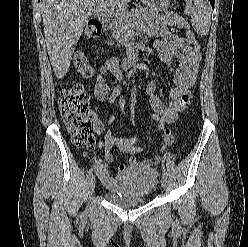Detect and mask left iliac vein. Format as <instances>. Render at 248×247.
I'll use <instances>...</instances> for the list:
<instances>
[{"instance_id":"left-iliac-vein-1","label":"left iliac vein","mask_w":248,"mask_h":247,"mask_svg":"<svg viewBox=\"0 0 248 247\" xmlns=\"http://www.w3.org/2000/svg\"><path fill=\"white\" fill-rule=\"evenodd\" d=\"M161 185H162V187H163L165 190L168 189V186H169L168 176L162 174V177H161Z\"/></svg>"}]
</instances>
